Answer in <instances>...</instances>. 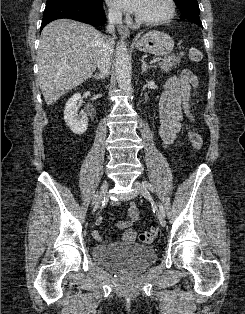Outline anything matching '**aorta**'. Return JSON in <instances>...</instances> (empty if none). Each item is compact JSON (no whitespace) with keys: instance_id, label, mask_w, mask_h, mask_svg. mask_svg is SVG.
<instances>
[{"instance_id":"762f6f07","label":"aorta","mask_w":245,"mask_h":314,"mask_svg":"<svg viewBox=\"0 0 245 314\" xmlns=\"http://www.w3.org/2000/svg\"><path fill=\"white\" fill-rule=\"evenodd\" d=\"M115 72L119 86L126 92H132L131 62L123 39L116 47Z\"/></svg>"}]
</instances>
